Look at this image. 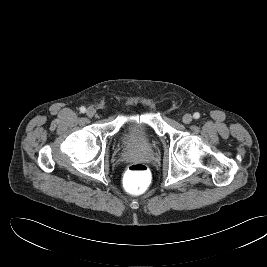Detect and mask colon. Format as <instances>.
Returning <instances> with one entry per match:
<instances>
[{"label":"colon","instance_id":"5ec220e1","mask_svg":"<svg viewBox=\"0 0 267 267\" xmlns=\"http://www.w3.org/2000/svg\"><path fill=\"white\" fill-rule=\"evenodd\" d=\"M151 183V174L148 167L140 162L132 163L123 179L125 190L132 195L145 192Z\"/></svg>","mask_w":267,"mask_h":267}]
</instances>
